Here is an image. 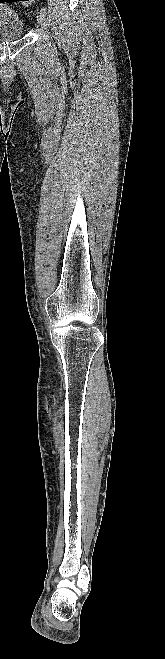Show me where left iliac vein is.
I'll return each mask as SVG.
<instances>
[{
    "label": "left iliac vein",
    "mask_w": 165,
    "mask_h": 659,
    "mask_svg": "<svg viewBox=\"0 0 165 659\" xmlns=\"http://www.w3.org/2000/svg\"><path fill=\"white\" fill-rule=\"evenodd\" d=\"M37 21L42 28H46V15L43 12L39 11L37 13Z\"/></svg>",
    "instance_id": "4c4485c4"
}]
</instances>
